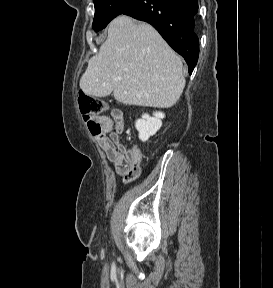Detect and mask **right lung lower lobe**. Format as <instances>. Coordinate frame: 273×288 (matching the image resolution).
Wrapping results in <instances>:
<instances>
[{"label": "right lung lower lobe", "mask_w": 273, "mask_h": 288, "mask_svg": "<svg viewBox=\"0 0 273 288\" xmlns=\"http://www.w3.org/2000/svg\"><path fill=\"white\" fill-rule=\"evenodd\" d=\"M197 12V0H137L122 14L150 23L184 57L191 74L199 55Z\"/></svg>", "instance_id": "right-lung-lower-lobe-1"}]
</instances>
